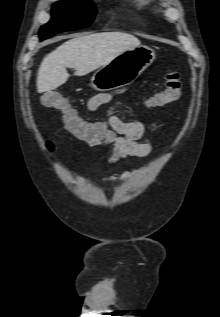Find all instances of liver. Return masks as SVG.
Here are the masks:
<instances>
[{
  "instance_id": "obj_1",
  "label": "liver",
  "mask_w": 220,
  "mask_h": 317,
  "mask_svg": "<svg viewBox=\"0 0 220 317\" xmlns=\"http://www.w3.org/2000/svg\"><path fill=\"white\" fill-rule=\"evenodd\" d=\"M138 46L139 39L123 32L95 33L70 39L42 60L37 73V91L43 93L63 85L70 76L66 68L75 69L76 76H84Z\"/></svg>"
}]
</instances>
